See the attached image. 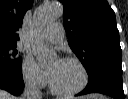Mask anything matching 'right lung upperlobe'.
Returning <instances> with one entry per match:
<instances>
[{"label": "right lung upper lobe", "instance_id": "obj_1", "mask_svg": "<svg viewBox=\"0 0 128 99\" xmlns=\"http://www.w3.org/2000/svg\"><path fill=\"white\" fill-rule=\"evenodd\" d=\"M33 0H0V44H14L19 40L16 31Z\"/></svg>", "mask_w": 128, "mask_h": 99}]
</instances>
